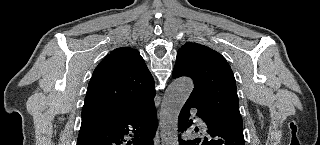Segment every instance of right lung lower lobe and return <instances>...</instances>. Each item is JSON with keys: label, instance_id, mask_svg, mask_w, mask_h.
Masks as SVG:
<instances>
[{"label": "right lung lower lobe", "instance_id": "right-lung-lower-lobe-1", "mask_svg": "<svg viewBox=\"0 0 320 145\" xmlns=\"http://www.w3.org/2000/svg\"><path fill=\"white\" fill-rule=\"evenodd\" d=\"M158 121L154 99L138 112L114 121L81 125L77 145H153ZM126 135H134L131 140Z\"/></svg>", "mask_w": 320, "mask_h": 145}]
</instances>
